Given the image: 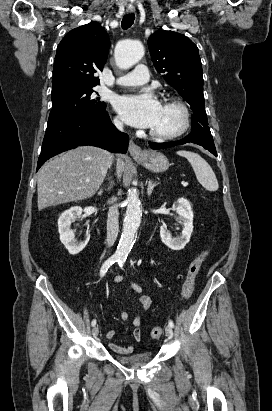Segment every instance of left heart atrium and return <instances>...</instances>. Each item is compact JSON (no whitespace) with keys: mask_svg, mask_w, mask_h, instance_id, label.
<instances>
[{"mask_svg":"<svg viewBox=\"0 0 272 411\" xmlns=\"http://www.w3.org/2000/svg\"><path fill=\"white\" fill-rule=\"evenodd\" d=\"M114 106L127 124L138 128H152L161 109L160 102L149 92L118 96Z\"/></svg>","mask_w":272,"mask_h":411,"instance_id":"obj_1","label":"left heart atrium"}]
</instances>
